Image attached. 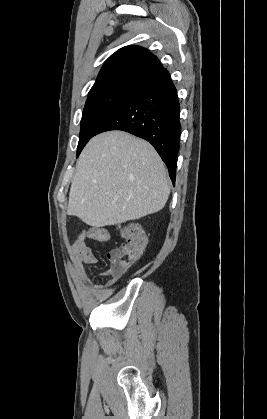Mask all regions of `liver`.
<instances>
[{"label": "liver", "mask_w": 267, "mask_h": 419, "mask_svg": "<svg viewBox=\"0 0 267 419\" xmlns=\"http://www.w3.org/2000/svg\"><path fill=\"white\" fill-rule=\"evenodd\" d=\"M170 194L168 173L150 143L123 131L93 137L72 180L67 214L99 228L160 211Z\"/></svg>", "instance_id": "obj_1"}]
</instances>
